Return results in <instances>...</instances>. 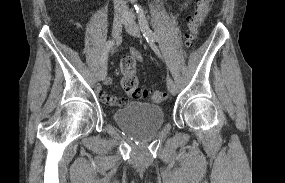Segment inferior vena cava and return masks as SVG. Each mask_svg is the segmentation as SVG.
Returning a JSON list of instances; mask_svg holds the SVG:
<instances>
[{"mask_svg":"<svg viewBox=\"0 0 285 183\" xmlns=\"http://www.w3.org/2000/svg\"><path fill=\"white\" fill-rule=\"evenodd\" d=\"M116 15H125L127 11L125 0H113Z\"/></svg>","mask_w":285,"mask_h":183,"instance_id":"1","label":"inferior vena cava"}]
</instances>
